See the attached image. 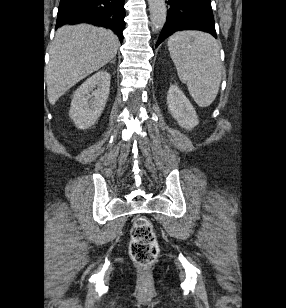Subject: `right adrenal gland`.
Returning a JSON list of instances; mask_svg holds the SVG:
<instances>
[{"label":"right adrenal gland","mask_w":286,"mask_h":308,"mask_svg":"<svg viewBox=\"0 0 286 308\" xmlns=\"http://www.w3.org/2000/svg\"><path fill=\"white\" fill-rule=\"evenodd\" d=\"M110 63H113V64H115V59H113L112 61H110Z\"/></svg>","instance_id":"obj_1"}]
</instances>
